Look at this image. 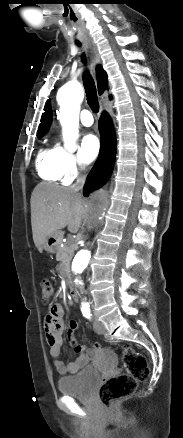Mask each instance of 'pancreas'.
Instances as JSON below:
<instances>
[{
  "label": "pancreas",
  "mask_w": 183,
  "mask_h": 438,
  "mask_svg": "<svg viewBox=\"0 0 183 438\" xmlns=\"http://www.w3.org/2000/svg\"><path fill=\"white\" fill-rule=\"evenodd\" d=\"M74 255V248L70 242H66L63 247H59L57 250L56 258L61 262V270L68 271L70 268V262Z\"/></svg>",
  "instance_id": "pancreas-1"
}]
</instances>
